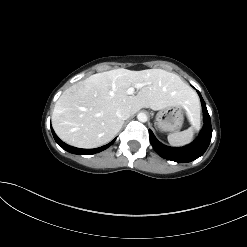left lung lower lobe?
<instances>
[{"instance_id": "0a47b994", "label": "left lung lower lobe", "mask_w": 247, "mask_h": 247, "mask_svg": "<svg viewBox=\"0 0 247 247\" xmlns=\"http://www.w3.org/2000/svg\"><path fill=\"white\" fill-rule=\"evenodd\" d=\"M203 108V116H204V127L200 132L198 138L192 142L191 144L184 146V147H168L160 143L154 136L153 132L149 130V137L151 145L153 146L154 150L163 158L175 162H191L204 154L206 149L209 146L212 136V127H211V120L208 114L206 104L201 97L199 91H197Z\"/></svg>"}]
</instances>
